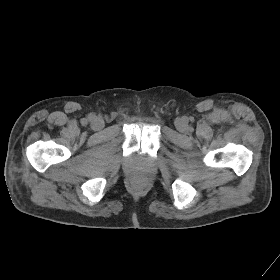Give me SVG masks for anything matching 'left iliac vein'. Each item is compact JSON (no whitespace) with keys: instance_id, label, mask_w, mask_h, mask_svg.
<instances>
[{"instance_id":"obj_1","label":"left iliac vein","mask_w":280,"mask_h":280,"mask_svg":"<svg viewBox=\"0 0 280 280\" xmlns=\"http://www.w3.org/2000/svg\"><path fill=\"white\" fill-rule=\"evenodd\" d=\"M175 126L180 132H185L188 130V125L185 119L179 118L175 121Z\"/></svg>"}]
</instances>
